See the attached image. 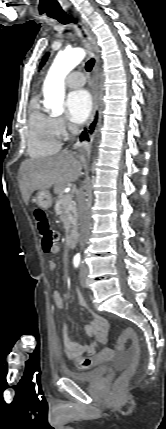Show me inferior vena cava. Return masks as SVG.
Returning <instances> with one entry per match:
<instances>
[{"label":"inferior vena cava","mask_w":166,"mask_h":429,"mask_svg":"<svg viewBox=\"0 0 166 429\" xmlns=\"http://www.w3.org/2000/svg\"><path fill=\"white\" fill-rule=\"evenodd\" d=\"M72 134H77L79 129L76 125H71L69 127ZM86 192L84 191V188L81 187L79 191V198H78V214H79V244L80 249L83 250L90 233V227H91V217L89 213V203L86 200Z\"/></svg>","instance_id":"obj_1"}]
</instances>
